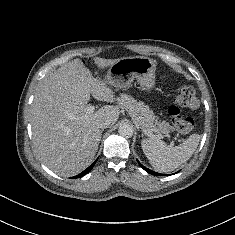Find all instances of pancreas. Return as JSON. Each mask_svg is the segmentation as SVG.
Instances as JSON below:
<instances>
[{
    "mask_svg": "<svg viewBox=\"0 0 235 235\" xmlns=\"http://www.w3.org/2000/svg\"><path fill=\"white\" fill-rule=\"evenodd\" d=\"M119 106L127 110L132 119L146 131L155 136L167 134L172 127L165 121H158L153 111L143 102H137L133 97L121 94L118 98Z\"/></svg>",
    "mask_w": 235,
    "mask_h": 235,
    "instance_id": "cf45deb5",
    "label": "pancreas"
}]
</instances>
